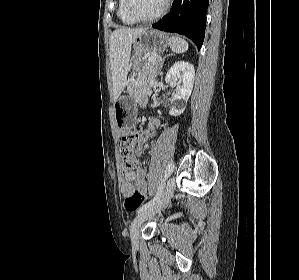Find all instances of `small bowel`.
I'll return each instance as SVG.
<instances>
[{"instance_id": "small-bowel-1", "label": "small bowel", "mask_w": 299, "mask_h": 280, "mask_svg": "<svg viewBox=\"0 0 299 280\" xmlns=\"http://www.w3.org/2000/svg\"><path fill=\"white\" fill-rule=\"evenodd\" d=\"M160 127V123L156 119H151L147 127L143 130L142 136H138L135 153L136 156H141L144 148L147 147V142L150 138L154 137L157 130ZM126 134V131L123 132ZM121 192L124 197L131 196L134 192H139L143 197L146 196L147 182L146 173L141 167L128 172H124L123 181L121 183Z\"/></svg>"}]
</instances>
